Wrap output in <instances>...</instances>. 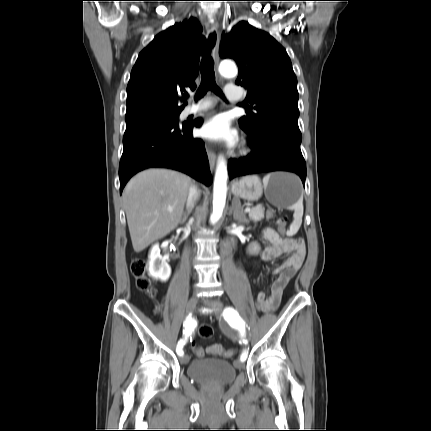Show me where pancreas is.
<instances>
[{"mask_svg": "<svg viewBox=\"0 0 431 431\" xmlns=\"http://www.w3.org/2000/svg\"><path fill=\"white\" fill-rule=\"evenodd\" d=\"M264 210V207L261 205L252 208L249 212V219L254 222L261 221L265 217Z\"/></svg>", "mask_w": 431, "mask_h": 431, "instance_id": "1", "label": "pancreas"}]
</instances>
